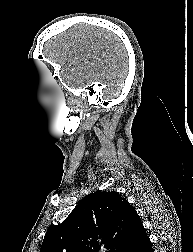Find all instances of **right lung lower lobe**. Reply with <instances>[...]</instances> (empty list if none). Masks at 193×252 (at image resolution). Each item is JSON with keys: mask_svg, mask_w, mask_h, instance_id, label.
Listing matches in <instances>:
<instances>
[{"mask_svg": "<svg viewBox=\"0 0 193 252\" xmlns=\"http://www.w3.org/2000/svg\"><path fill=\"white\" fill-rule=\"evenodd\" d=\"M124 252H154L145 229L140 231L136 239L124 250Z\"/></svg>", "mask_w": 193, "mask_h": 252, "instance_id": "obj_1", "label": "right lung lower lobe"}]
</instances>
